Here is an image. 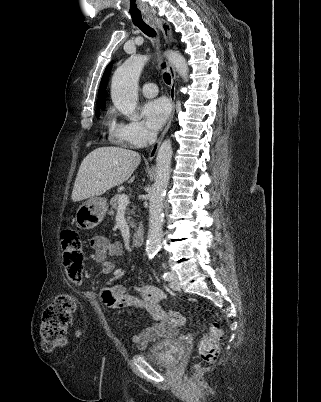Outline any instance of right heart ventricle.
Returning a JSON list of instances; mask_svg holds the SVG:
<instances>
[{
    "label": "right heart ventricle",
    "instance_id": "obj_1",
    "mask_svg": "<svg viewBox=\"0 0 321 402\" xmlns=\"http://www.w3.org/2000/svg\"><path fill=\"white\" fill-rule=\"evenodd\" d=\"M109 125H110V128L112 129V131L114 132L117 124H115V122L111 118H109Z\"/></svg>",
    "mask_w": 321,
    "mask_h": 402
}]
</instances>
